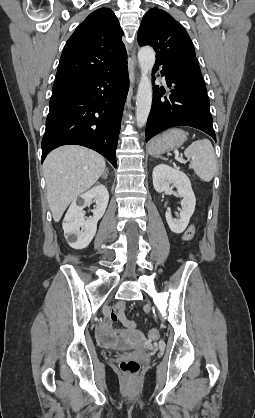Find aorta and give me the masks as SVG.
Listing matches in <instances>:
<instances>
[{
	"label": "aorta",
	"instance_id": "762f6f07",
	"mask_svg": "<svg viewBox=\"0 0 255 418\" xmlns=\"http://www.w3.org/2000/svg\"><path fill=\"white\" fill-rule=\"evenodd\" d=\"M141 78L136 96V121L138 127H143L148 119L152 104L151 71L155 63V52L149 47H142L138 52Z\"/></svg>",
	"mask_w": 255,
	"mask_h": 418
}]
</instances>
